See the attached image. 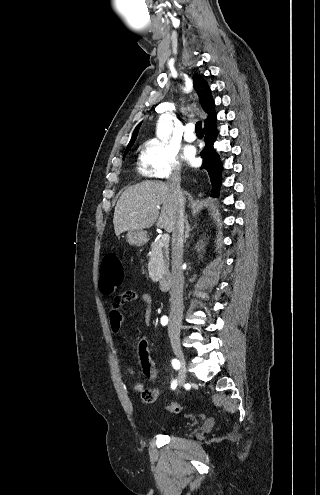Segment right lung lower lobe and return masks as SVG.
<instances>
[{
  "label": "right lung lower lobe",
  "mask_w": 320,
  "mask_h": 495,
  "mask_svg": "<svg viewBox=\"0 0 320 495\" xmlns=\"http://www.w3.org/2000/svg\"><path fill=\"white\" fill-rule=\"evenodd\" d=\"M204 133L205 147L201 152L204 162L201 169L204 168L210 176L211 196L217 197L219 195L221 185L222 162L214 148V142L216 141L218 135L216 122L204 127Z\"/></svg>",
  "instance_id": "right-lung-lower-lobe-1"
}]
</instances>
